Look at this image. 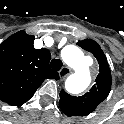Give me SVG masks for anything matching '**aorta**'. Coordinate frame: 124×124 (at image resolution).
<instances>
[{
	"label": "aorta",
	"mask_w": 124,
	"mask_h": 124,
	"mask_svg": "<svg viewBox=\"0 0 124 124\" xmlns=\"http://www.w3.org/2000/svg\"><path fill=\"white\" fill-rule=\"evenodd\" d=\"M61 57L74 70L65 81L66 90L72 94L86 90L91 83V75L83 51L76 45H67L61 51Z\"/></svg>",
	"instance_id": "obj_1"
}]
</instances>
